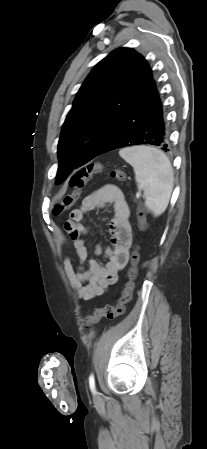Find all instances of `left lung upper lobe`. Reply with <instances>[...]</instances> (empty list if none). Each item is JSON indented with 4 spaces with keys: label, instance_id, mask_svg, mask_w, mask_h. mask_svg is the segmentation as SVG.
<instances>
[{
    "label": "left lung upper lobe",
    "instance_id": "left-lung-upper-lobe-1",
    "mask_svg": "<svg viewBox=\"0 0 207 449\" xmlns=\"http://www.w3.org/2000/svg\"><path fill=\"white\" fill-rule=\"evenodd\" d=\"M152 81L148 63L131 48L116 49L95 65L62 127L56 183L95 158L109 134Z\"/></svg>",
    "mask_w": 207,
    "mask_h": 449
}]
</instances>
